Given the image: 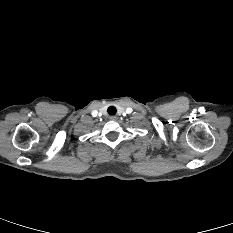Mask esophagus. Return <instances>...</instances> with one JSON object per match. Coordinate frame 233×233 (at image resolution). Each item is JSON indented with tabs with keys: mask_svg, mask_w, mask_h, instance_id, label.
Returning <instances> with one entry per match:
<instances>
[{
	"mask_svg": "<svg viewBox=\"0 0 233 233\" xmlns=\"http://www.w3.org/2000/svg\"><path fill=\"white\" fill-rule=\"evenodd\" d=\"M109 119H110L111 121H116V120H117V116H110Z\"/></svg>",
	"mask_w": 233,
	"mask_h": 233,
	"instance_id": "obj_1",
	"label": "esophagus"
}]
</instances>
